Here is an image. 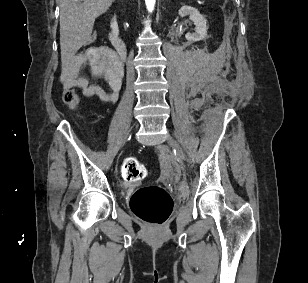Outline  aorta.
Wrapping results in <instances>:
<instances>
[{
    "label": "aorta",
    "mask_w": 308,
    "mask_h": 283,
    "mask_svg": "<svg viewBox=\"0 0 308 283\" xmlns=\"http://www.w3.org/2000/svg\"><path fill=\"white\" fill-rule=\"evenodd\" d=\"M156 0H145L146 7L149 12H152L154 10Z\"/></svg>",
    "instance_id": "aorta-1"
}]
</instances>
